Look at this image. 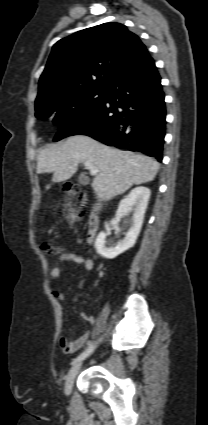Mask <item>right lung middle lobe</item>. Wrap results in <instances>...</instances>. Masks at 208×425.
<instances>
[{"instance_id":"dd1d6c3e","label":"right lung middle lobe","mask_w":208,"mask_h":425,"mask_svg":"<svg viewBox=\"0 0 208 425\" xmlns=\"http://www.w3.org/2000/svg\"><path fill=\"white\" fill-rule=\"evenodd\" d=\"M106 88L82 89L61 96L44 98L35 103L37 118H52L54 123L65 120L90 110L105 98Z\"/></svg>"}]
</instances>
